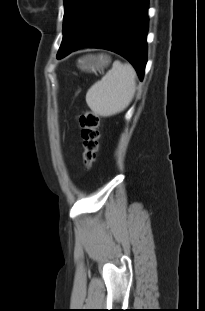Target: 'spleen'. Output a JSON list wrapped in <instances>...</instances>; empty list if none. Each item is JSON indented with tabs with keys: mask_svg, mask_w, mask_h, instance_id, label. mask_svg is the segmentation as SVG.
I'll return each mask as SVG.
<instances>
[{
	"mask_svg": "<svg viewBox=\"0 0 205 311\" xmlns=\"http://www.w3.org/2000/svg\"><path fill=\"white\" fill-rule=\"evenodd\" d=\"M134 91L133 68L116 60L105 76L87 91L86 102L95 115L108 117L123 111L131 102Z\"/></svg>",
	"mask_w": 205,
	"mask_h": 311,
	"instance_id": "obj_1",
	"label": "spleen"
}]
</instances>
